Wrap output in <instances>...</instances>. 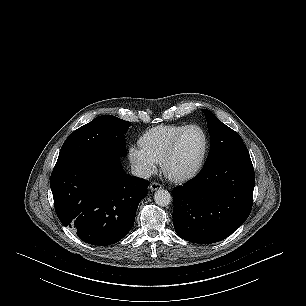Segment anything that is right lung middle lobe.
I'll return each mask as SVG.
<instances>
[{
  "label": "right lung middle lobe",
  "mask_w": 306,
  "mask_h": 306,
  "mask_svg": "<svg viewBox=\"0 0 306 306\" xmlns=\"http://www.w3.org/2000/svg\"><path fill=\"white\" fill-rule=\"evenodd\" d=\"M130 126V122L112 115L95 118L68 136L55 167L81 156H125V134Z\"/></svg>",
  "instance_id": "dd1d6c3e"
}]
</instances>
